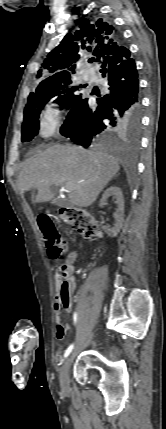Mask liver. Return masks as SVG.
I'll return each mask as SVG.
<instances>
[{
    "label": "liver",
    "instance_id": "1",
    "mask_svg": "<svg viewBox=\"0 0 166 429\" xmlns=\"http://www.w3.org/2000/svg\"><path fill=\"white\" fill-rule=\"evenodd\" d=\"M119 169L118 161L105 152L55 145L26 161L19 174L18 189L23 193L37 188L35 202H47L55 195L52 186L70 183L73 188L69 189V202L87 207Z\"/></svg>",
    "mask_w": 166,
    "mask_h": 429
}]
</instances>
